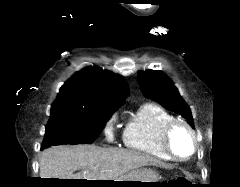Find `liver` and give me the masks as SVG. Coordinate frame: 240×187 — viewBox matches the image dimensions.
Here are the masks:
<instances>
[{
	"instance_id": "liver-1",
	"label": "liver",
	"mask_w": 240,
	"mask_h": 187,
	"mask_svg": "<svg viewBox=\"0 0 240 187\" xmlns=\"http://www.w3.org/2000/svg\"><path fill=\"white\" fill-rule=\"evenodd\" d=\"M40 178L115 180L144 166H163L132 150L95 145H59L40 154ZM81 170L74 174L75 171Z\"/></svg>"
}]
</instances>
